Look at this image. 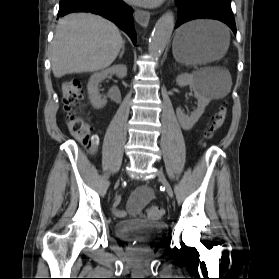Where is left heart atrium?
<instances>
[{
	"instance_id": "1",
	"label": "left heart atrium",
	"mask_w": 279,
	"mask_h": 279,
	"mask_svg": "<svg viewBox=\"0 0 279 279\" xmlns=\"http://www.w3.org/2000/svg\"><path fill=\"white\" fill-rule=\"evenodd\" d=\"M134 4H140L144 6H153L159 4L162 0H127Z\"/></svg>"
}]
</instances>
